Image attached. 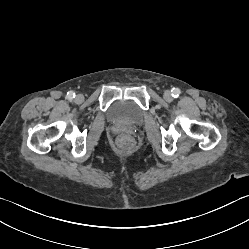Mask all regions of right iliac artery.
I'll list each match as a JSON object with an SVG mask.
<instances>
[{"instance_id":"1","label":"right iliac artery","mask_w":249,"mask_h":249,"mask_svg":"<svg viewBox=\"0 0 249 249\" xmlns=\"http://www.w3.org/2000/svg\"><path fill=\"white\" fill-rule=\"evenodd\" d=\"M67 95H68V98H70V99L75 97V93L72 91L68 92Z\"/></svg>"}]
</instances>
